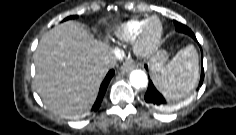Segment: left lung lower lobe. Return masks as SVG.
<instances>
[{"label": "left lung lower lobe", "mask_w": 236, "mask_h": 135, "mask_svg": "<svg viewBox=\"0 0 236 135\" xmlns=\"http://www.w3.org/2000/svg\"><path fill=\"white\" fill-rule=\"evenodd\" d=\"M174 24H175L176 30L178 32L188 34L194 40H196L194 33L188 27H186L185 25H183L177 21H174ZM146 68H147V66H146ZM203 79H204V70H203V62H202L201 79L199 82V87L202 86ZM144 98H145L146 103H148L150 106L157 108V109H163L168 105L165 98L156 90V88L154 87L151 80L149 81L148 89L145 93Z\"/></svg>", "instance_id": "obj_1"}]
</instances>
